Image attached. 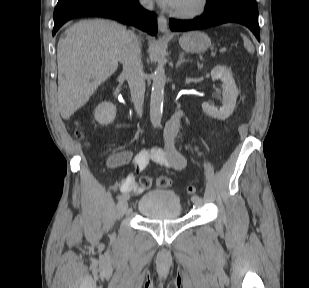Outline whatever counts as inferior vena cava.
<instances>
[{
  "mask_svg": "<svg viewBox=\"0 0 309 288\" xmlns=\"http://www.w3.org/2000/svg\"><path fill=\"white\" fill-rule=\"evenodd\" d=\"M140 2L145 8L153 9L152 0H140ZM120 61L127 76L135 110L141 117L145 95V77L141 62L140 41L133 32H128L127 40L120 52Z\"/></svg>",
  "mask_w": 309,
  "mask_h": 288,
  "instance_id": "obj_1",
  "label": "inferior vena cava"
}]
</instances>
